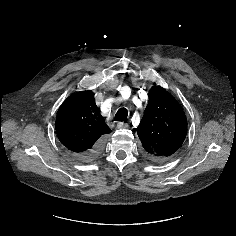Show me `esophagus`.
Listing matches in <instances>:
<instances>
[{
  "label": "esophagus",
  "mask_w": 236,
  "mask_h": 236,
  "mask_svg": "<svg viewBox=\"0 0 236 236\" xmlns=\"http://www.w3.org/2000/svg\"><path fill=\"white\" fill-rule=\"evenodd\" d=\"M128 127V124L124 123V122H118L117 123V128L118 129H124V128H127Z\"/></svg>",
  "instance_id": "1"
}]
</instances>
